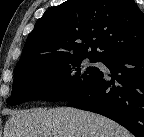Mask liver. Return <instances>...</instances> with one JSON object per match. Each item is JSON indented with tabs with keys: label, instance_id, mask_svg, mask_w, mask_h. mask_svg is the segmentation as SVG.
I'll list each match as a JSON object with an SVG mask.
<instances>
[{
	"label": "liver",
	"instance_id": "6515ba94",
	"mask_svg": "<svg viewBox=\"0 0 144 137\" xmlns=\"http://www.w3.org/2000/svg\"><path fill=\"white\" fill-rule=\"evenodd\" d=\"M4 137H132V134L102 115L59 107L12 111Z\"/></svg>",
	"mask_w": 144,
	"mask_h": 137
}]
</instances>
